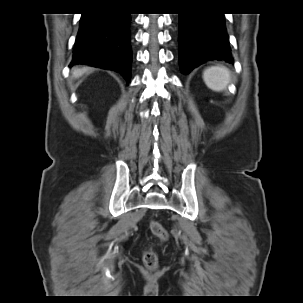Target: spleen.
<instances>
[{
	"label": "spleen",
	"mask_w": 303,
	"mask_h": 303,
	"mask_svg": "<svg viewBox=\"0 0 303 303\" xmlns=\"http://www.w3.org/2000/svg\"><path fill=\"white\" fill-rule=\"evenodd\" d=\"M203 80L209 89L221 92L227 89L231 77L227 68L223 66H212L204 70Z\"/></svg>",
	"instance_id": "obj_1"
}]
</instances>
